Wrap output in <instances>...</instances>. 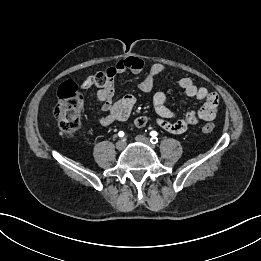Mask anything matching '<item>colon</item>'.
<instances>
[{"mask_svg":"<svg viewBox=\"0 0 261 261\" xmlns=\"http://www.w3.org/2000/svg\"><path fill=\"white\" fill-rule=\"evenodd\" d=\"M90 83L92 87L101 88L106 84L104 72H99L91 76ZM83 99L79 93L77 85L72 81H66L58 89V102L54 108V117L56 118L60 130L66 135H74L81 125V108ZM147 123V118L142 116L137 118L133 125L143 127ZM215 129L213 123H207L202 127L204 133H210Z\"/></svg>","mask_w":261,"mask_h":261,"instance_id":"colon-1","label":"colon"}]
</instances>
